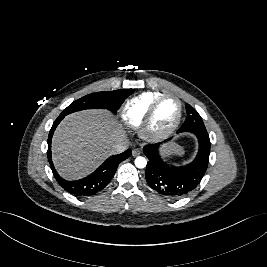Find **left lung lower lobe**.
I'll use <instances>...</instances> for the list:
<instances>
[{
    "label": "left lung lower lobe",
    "instance_id": "0a47b994",
    "mask_svg": "<svg viewBox=\"0 0 267 267\" xmlns=\"http://www.w3.org/2000/svg\"><path fill=\"white\" fill-rule=\"evenodd\" d=\"M199 142L196 158L188 165L172 166L166 164L160 154V144H150L143 148L148 158L146 181L159 194L169 198H180L192 192L203 178L210 154V139L207 131L191 130Z\"/></svg>",
    "mask_w": 267,
    "mask_h": 267
}]
</instances>
